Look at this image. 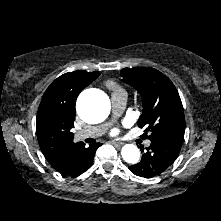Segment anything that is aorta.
<instances>
[{
	"label": "aorta",
	"instance_id": "obj_1",
	"mask_svg": "<svg viewBox=\"0 0 221 221\" xmlns=\"http://www.w3.org/2000/svg\"><path fill=\"white\" fill-rule=\"evenodd\" d=\"M109 101L107 97L99 93L83 94L77 101V112L86 122H97L106 118L109 113ZM122 158L130 164L137 163L140 151L133 144H126L121 150Z\"/></svg>",
	"mask_w": 221,
	"mask_h": 221
}]
</instances>
